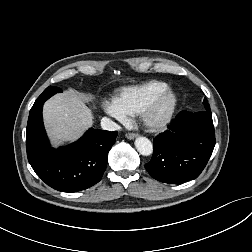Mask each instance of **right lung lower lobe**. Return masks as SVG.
I'll return each instance as SVG.
<instances>
[{"label":"right lung lower lobe","instance_id":"obj_1","mask_svg":"<svg viewBox=\"0 0 252 252\" xmlns=\"http://www.w3.org/2000/svg\"><path fill=\"white\" fill-rule=\"evenodd\" d=\"M43 104L31 108L27 123L26 150L33 170L47 185L61 192L93 186L106 169L117 132L90 128L77 142L53 149L43 125Z\"/></svg>","mask_w":252,"mask_h":252}]
</instances>
